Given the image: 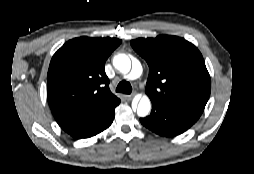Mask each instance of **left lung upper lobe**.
Segmentation results:
<instances>
[{
	"label": "left lung upper lobe",
	"instance_id": "1",
	"mask_svg": "<svg viewBox=\"0 0 254 174\" xmlns=\"http://www.w3.org/2000/svg\"><path fill=\"white\" fill-rule=\"evenodd\" d=\"M150 68L146 94L151 101L201 116L210 96L211 81L199 50L177 36L159 35L131 41Z\"/></svg>",
	"mask_w": 254,
	"mask_h": 174
}]
</instances>
